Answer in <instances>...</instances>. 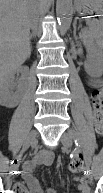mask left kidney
<instances>
[{
    "mask_svg": "<svg viewBox=\"0 0 103 193\" xmlns=\"http://www.w3.org/2000/svg\"><path fill=\"white\" fill-rule=\"evenodd\" d=\"M89 59L85 62L84 68L88 75L99 77L103 71L102 53L95 49L88 51Z\"/></svg>",
    "mask_w": 103,
    "mask_h": 193,
    "instance_id": "left-kidney-1",
    "label": "left kidney"
}]
</instances>
